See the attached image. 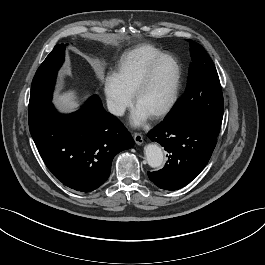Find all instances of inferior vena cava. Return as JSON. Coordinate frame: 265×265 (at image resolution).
Listing matches in <instances>:
<instances>
[{"mask_svg":"<svg viewBox=\"0 0 265 265\" xmlns=\"http://www.w3.org/2000/svg\"><path fill=\"white\" fill-rule=\"evenodd\" d=\"M107 108L111 114L116 115V116H122L125 111L123 106L111 100L107 101Z\"/></svg>","mask_w":265,"mask_h":265,"instance_id":"obj_1","label":"inferior vena cava"}]
</instances>
